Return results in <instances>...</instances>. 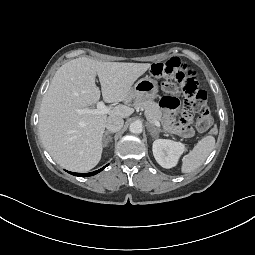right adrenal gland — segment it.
I'll list each match as a JSON object with an SVG mask.
<instances>
[{
    "instance_id": "right-adrenal-gland-1",
    "label": "right adrenal gland",
    "mask_w": 255,
    "mask_h": 255,
    "mask_svg": "<svg viewBox=\"0 0 255 255\" xmlns=\"http://www.w3.org/2000/svg\"><path fill=\"white\" fill-rule=\"evenodd\" d=\"M111 134L109 131H106L104 136H103V141H104V144L103 146L106 147L108 146V144L111 142L112 140V137L109 135Z\"/></svg>"
}]
</instances>
